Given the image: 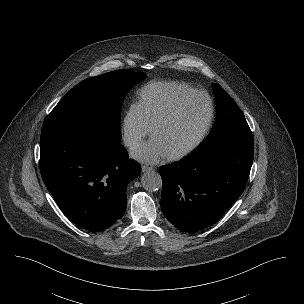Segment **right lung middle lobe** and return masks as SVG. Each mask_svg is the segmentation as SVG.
<instances>
[{"instance_id": "1", "label": "right lung middle lobe", "mask_w": 304, "mask_h": 304, "mask_svg": "<svg viewBox=\"0 0 304 304\" xmlns=\"http://www.w3.org/2000/svg\"><path fill=\"white\" fill-rule=\"evenodd\" d=\"M145 78L132 70H118L83 80L46 117L41 134L76 128L119 143L122 102L129 90Z\"/></svg>"}]
</instances>
